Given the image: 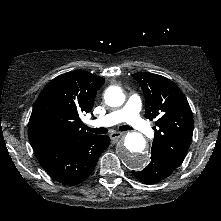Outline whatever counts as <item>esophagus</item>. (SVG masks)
I'll use <instances>...</instances> for the list:
<instances>
[{
	"label": "esophagus",
	"mask_w": 221,
	"mask_h": 221,
	"mask_svg": "<svg viewBox=\"0 0 221 221\" xmlns=\"http://www.w3.org/2000/svg\"><path fill=\"white\" fill-rule=\"evenodd\" d=\"M123 136H124V133H122V132H113L110 135L111 139L114 141H117L118 139H120Z\"/></svg>",
	"instance_id": "esophagus-1"
}]
</instances>
